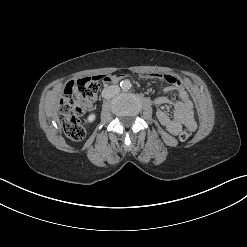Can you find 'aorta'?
<instances>
[{"instance_id": "obj_1", "label": "aorta", "mask_w": 247, "mask_h": 247, "mask_svg": "<svg viewBox=\"0 0 247 247\" xmlns=\"http://www.w3.org/2000/svg\"><path fill=\"white\" fill-rule=\"evenodd\" d=\"M120 86H121L122 90L128 91L131 88V82L129 80H123L120 83Z\"/></svg>"}]
</instances>
